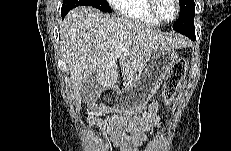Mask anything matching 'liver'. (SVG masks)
I'll list each match as a JSON object with an SVG mask.
<instances>
[{"mask_svg": "<svg viewBox=\"0 0 231 151\" xmlns=\"http://www.w3.org/2000/svg\"><path fill=\"white\" fill-rule=\"evenodd\" d=\"M185 44L178 35H168L140 22L101 14L98 10L73 8L60 24L61 53L69 66L74 95L95 74L103 90L118 82V63L124 80L136 75L151 53Z\"/></svg>", "mask_w": 231, "mask_h": 151, "instance_id": "1", "label": "liver"}]
</instances>
